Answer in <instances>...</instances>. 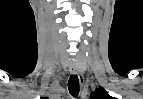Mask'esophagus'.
<instances>
[{
  "label": "esophagus",
  "mask_w": 143,
  "mask_h": 99,
  "mask_svg": "<svg viewBox=\"0 0 143 99\" xmlns=\"http://www.w3.org/2000/svg\"><path fill=\"white\" fill-rule=\"evenodd\" d=\"M71 73L73 75H77L78 76V79H79V82H80V85L83 87L84 86V76L83 74L80 72L78 66L76 64H72L71 65Z\"/></svg>",
  "instance_id": "1"
}]
</instances>
